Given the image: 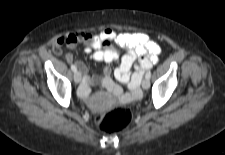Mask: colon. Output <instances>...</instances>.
Masks as SVG:
<instances>
[{
  "label": "colon",
  "mask_w": 225,
  "mask_h": 155,
  "mask_svg": "<svg viewBox=\"0 0 225 155\" xmlns=\"http://www.w3.org/2000/svg\"><path fill=\"white\" fill-rule=\"evenodd\" d=\"M133 119V114L128 108H118L97 118L98 128L108 134L120 132L127 128Z\"/></svg>",
  "instance_id": "colon-1"
}]
</instances>
